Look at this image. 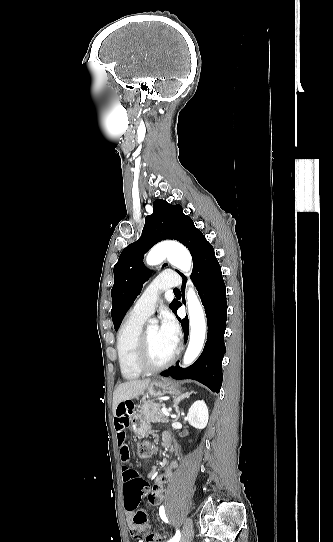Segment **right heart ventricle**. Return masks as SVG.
I'll use <instances>...</instances> for the list:
<instances>
[{
  "label": "right heart ventricle",
  "instance_id": "obj_1",
  "mask_svg": "<svg viewBox=\"0 0 333 542\" xmlns=\"http://www.w3.org/2000/svg\"><path fill=\"white\" fill-rule=\"evenodd\" d=\"M146 318L129 315L122 324L117 335V353L122 376L127 380H135L142 376V372L134 362V351L143 324Z\"/></svg>",
  "mask_w": 333,
  "mask_h": 542
}]
</instances>
